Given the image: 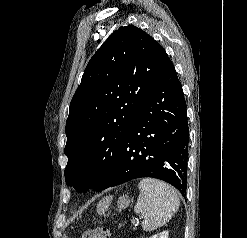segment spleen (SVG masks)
Segmentation results:
<instances>
[{"instance_id": "1", "label": "spleen", "mask_w": 247, "mask_h": 238, "mask_svg": "<svg viewBox=\"0 0 247 238\" xmlns=\"http://www.w3.org/2000/svg\"><path fill=\"white\" fill-rule=\"evenodd\" d=\"M138 188L140 193L134 211L143 215V230L153 231L163 226L179 209L177 192L167 183L144 178Z\"/></svg>"}]
</instances>
